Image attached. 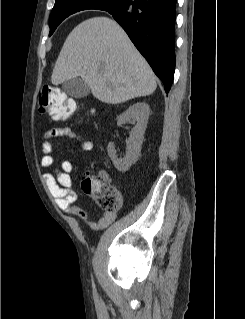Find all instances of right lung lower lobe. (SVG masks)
<instances>
[{"label":"right lung lower lobe","instance_id":"98d812e1","mask_svg":"<svg viewBox=\"0 0 245 319\" xmlns=\"http://www.w3.org/2000/svg\"><path fill=\"white\" fill-rule=\"evenodd\" d=\"M177 0H123L103 9L126 31L169 92L175 71V5Z\"/></svg>","mask_w":245,"mask_h":319}]
</instances>
